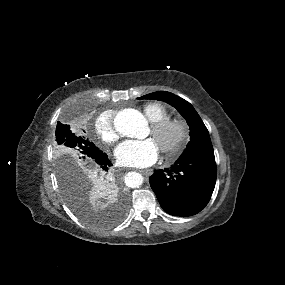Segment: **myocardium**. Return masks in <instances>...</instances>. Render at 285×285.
<instances>
[{"label": "myocardium", "mask_w": 285, "mask_h": 285, "mask_svg": "<svg viewBox=\"0 0 285 285\" xmlns=\"http://www.w3.org/2000/svg\"><path fill=\"white\" fill-rule=\"evenodd\" d=\"M151 131L168 159L176 158L184 150L190 135L188 123L178 117L152 123Z\"/></svg>", "instance_id": "1"}]
</instances>
